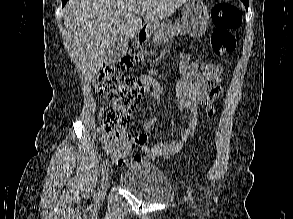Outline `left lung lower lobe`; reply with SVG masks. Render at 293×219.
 I'll use <instances>...</instances> for the list:
<instances>
[{"instance_id": "1", "label": "left lung lower lobe", "mask_w": 293, "mask_h": 219, "mask_svg": "<svg viewBox=\"0 0 293 219\" xmlns=\"http://www.w3.org/2000/svg\"><path fill=\"white\" fill-rule=\"evenodd\" d=\"M241 1L244 3L246 9H248V6H249V0H241Z\"/></svg>"}]
</instances>
